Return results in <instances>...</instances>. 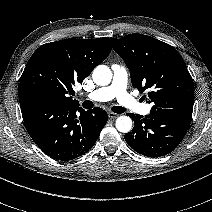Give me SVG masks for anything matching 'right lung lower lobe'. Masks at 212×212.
<instances>
[{"label":"right lung lower lobe","instance_id":"right-lung-lower-lobe-1","mask_svg":"<svg viewBox=\"0 0 212 212\" xmlns=\"http://www.w3.org/2000/svg\"><path fill=\"white\" fill-rule=\"evenodd\" d=\"M28 133L55 160L68 161L87 153L96 143L108 116L101 108L45 103L22 111Z\"/></svg>","mask_w":212,"mask_h":212}]
</instances>
